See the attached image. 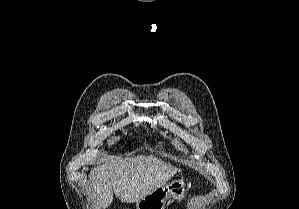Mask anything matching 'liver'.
Instances as JSON below:
<instances>
[{"label": "liver", "instance_id": "obj_1", "mask_svg": "<svg viewBox=\"0 0 299 209\" xmlns=\"http://www.w3.org/2000/svg\"><path fill=\"white\" fill-rule=\"evenodd\" d=\"M179 170L154 156L121 159L95 168L89 177L95 209H106L113 192L123 202L137 203L165 185Z\"/></svg>", "mask_w": 299, "mask_h": 209}]
</instances>
